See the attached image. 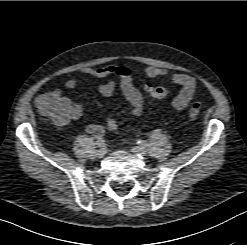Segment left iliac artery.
<instances>
[{
  "mask_svg": "<svg viewBox=\"0 0 247 245\" xmlns=\"http://www.w3.org/2000/svg\"><path fill=\"white\" fill-rule=\"evenodd\" d=\"M161 132H162L161 129H156L151 133L150 137L158 138L161 135ZM139 143H141V140L139 141Z\"/></svg>",
  "mask_w": 247,
  "mask_h": 245,
  "instance_id": "obj_1",
  "label": "left iliac artery"
}]
</instances>
